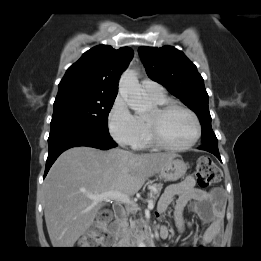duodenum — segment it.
I'll return each instance as SVG.
<instances>
[{
  "mask_svg": "<svg viewBox=\"0 0 261 261\" xmlns=\"http://www.w3.org/2000/svg\"><path fill=\"white\" fill-rule=\"evenodd\" d=\"M122 229V225L118 222L111 223L108 228L105 229L104 236H106L104 245L117 247L119 243V232ZM149 231L147 229H143L141 238L145 243L149 241Z\"/></svg>",
  "mask_w": 261,
  "mask_h": 261,
  "instance_id": "1",
  "label": "duodenum"
}]
</instances>
